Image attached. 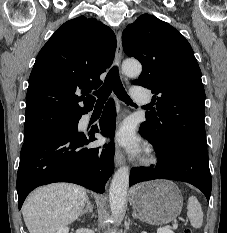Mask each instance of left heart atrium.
Returning <instances> with one entry per match:
<instances>
[{"instance_id":"39dd6f15","label":"left heart atrium","mask_w":227,"mask_h":233,"mask_svg":"<svg viewBox=\"0 0 227 233\" xmlns=\"http://www.w3.org/2000/svg\"><path fill=\"white\" fill-rule=\"evenodd\" d=\"M112 139L131 153H138L141 149L140 139L130 122H123L114 132Z\"/></svg>"}]
</instances>
